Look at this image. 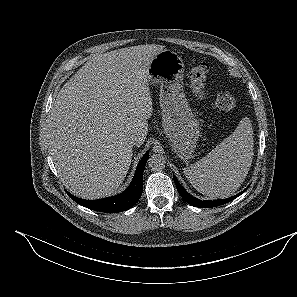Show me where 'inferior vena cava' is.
Masks as SVG:
<instances>
[{
  "label": "inferior vena cava",
  "mask_w": 297,
  "mask_h": 297,
  "mask_svg": "<svg viewBox=\"0 0 297 297\" xmlns=\"http://www.w3.org/2000/svg\"><path fill=\"white\" fill-rule=\"evenodd\" d=\"M140 139L136 135H130L128 138V144L130 146L138 145Z\"/></svg>",
  "instance_id": "obj_1"
}]
</instances>
